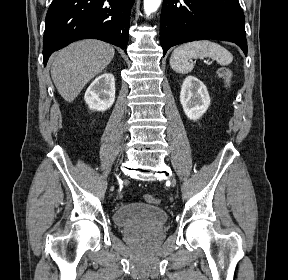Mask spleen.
<instances>
[{"label":"spleen","mask_w":288,"mask_h":280,"mask_svg":"<svg viewBox=\"0 0 288 280\" xmlns=\"http://www.w3.org/2000/svg\"><path fill=\"white\" fill-rule=\"evenodd\" d=\"M210 57L220 65L226 66L233 61V55L218 43L202 40L186 43L177 47L170 57V66L177 73L186 74L192 71L191 58Z\"/></svg>","instance_id":"spleen-1"}]
</instances>
